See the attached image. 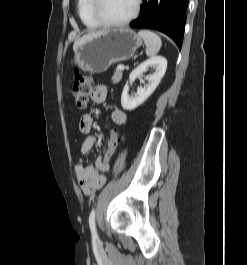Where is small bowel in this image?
I'll return each mask as SVG.
<instances>
[{
    "label": "small bowel",
    "instance_id": "c3829d8e",
    "mask_svg": "<svg viewBox=\"0 0 247 265\" xmlns=\"http://www.w3.org/2000/svg\"><path fill=\"white\" fill-rule=\"evenodd\" d=\"M110 94V88L106 84H98L92 91L91 99L94 103H102ZM111 119L116 125H123L127 121L126 113L119 108H115L111 113ZM93 117L90 114H84L79 122L80 131L86 135L82 145L81 153L87 154L96 144L97 138L91 134ZM102 156L99 155L94 165H86L81 159L75 167L77 181L85 195H91L102 188L106 182L102 166Z\"/></svg>",
    "mask_w": 247,
    "mask_h": 265
}]
</instances>
